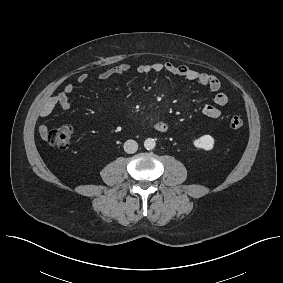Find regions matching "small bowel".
I'll list each match as a JSON object with an SVG mask.
<instances>
[{
    "label": "small bowel",
    "instance_id": "small-bowel-1",
    "mask_svg": "<svg viewBox=\"0 0 283 283\" xmlns=\"http://www.w3.org/2000/svg\"><path fill=\"white\" fill-rule=\"evenodd\" d=\"M131 70V66L128 64H120L109 68L99 74L100 80H107L116 75L126 74ZM136 71L139 74H148L152 72H165L172 75L182 77L188 81L196 82L204 87H207L212 92H215L214 103L215 105H206L203 108V114L211 119H217L221 116V107L228 103V96L226 93L220 91L221 82L220 80L209 73L199 72L186 65H176L170 62L165 63H151V64H140L137 66ZM88 75L82 73L77 77V82L83 84L87 81ZM74 91V86L71 83H66L62 89L50 95L38 111V115L41 118H45L50 115L56 106L67 110L71 107L69 96ZM154 129L157 132L165 133L168 131V125L163 121H156L154 123ZM40 134L45 136L47 133V126L41 125L39 128Z\"/></svg>",
    "mask_w": 283,
    "mask_h": 283
}]
</instances>
